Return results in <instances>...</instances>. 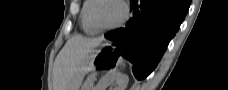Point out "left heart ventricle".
Returning a JSON list of instances; mask_svg holds the SVG:
<instances>
[{"label": "left heart ventricle", "instance_id": "obj_1", "mask_svg": "<svg viewBox=\"0 0 228 90\" xmlns=\"http://www.w3.org/2000/svg\"><path fill=\"white\" fill-rule=\"evenodd\" d=\"M122 16L121 6L112 0H104L97 4L95 9V19L100 26H110L115 24Z\"/></svg>", "mask_w": 228, "mask_h": 90}]
</instances>
